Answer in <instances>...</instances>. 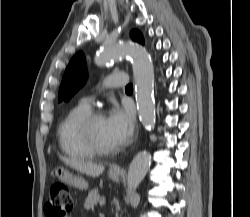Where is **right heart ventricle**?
<instances>
[{
    "mask_svg": "<svg viewBox=\"0 0 250 217\" xmlns=\"http://www.w3.org/2000/svg\"><path fill=\"white\" fill-rule=\"evenodd\" d=\"M90 107L84 102L72 106L60 121L57 128L59 147L67 156L75 159H87L94 153L84 143L79 125L90 112Z\"/></svg>",
    "mask_w": 250,
    "mask_h": 217,
    "instance_id": "1",
    "label": "right heart ventricle"
}]
</instances>
